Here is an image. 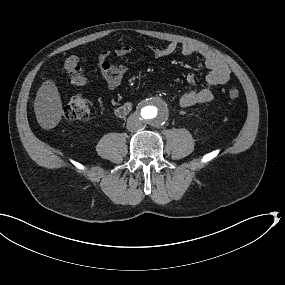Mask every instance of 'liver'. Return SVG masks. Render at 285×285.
Returning <instances> with one entry per match:
<instances>
[{
    "mask_svg": "<svg viewBox=\"0 0 285 285\" xmlns=\"http://www.w3.org/2000/svg\"><path fill=\"white\" fill-rule=\"evenodd\" d=\"M33 104L36 120L42 129L51 130L59 124L63 116V103L53 78L43 81Z\"/></svg>",
    "mask_w": 285,
    "mask_h": 285,
    "instance_id": "6515ba94",
    "label": "liver"
}]
</instances>
